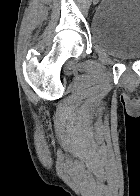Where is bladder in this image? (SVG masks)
<instances>
[{"instance_id": "obj_1", "label": "bladder", "mask_w": 140, "mask_h": 196, "mask_svg": "<svg viewBox=\"0 0 140 196\" xmlns=\"http://www.w3.org/2000/svg\"><path fill=\"white\" fill-rule=\"evenodd\" d=\"M90 31L103 52L119 59L140 58V0H102Z\"/></svg>"}]
</instances>
